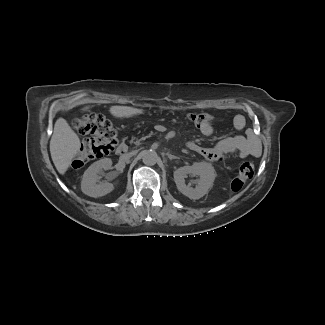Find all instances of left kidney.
Wrapping results in <instances>:
<instances>
[{
  "label": "left kidney",
  "instance_id": "5707ae66",
  "mask_svg": "<svg viewBox=\"0 0 325 325\" xmlns=\"http://www.w3.org/2000/svg\"><path fill=\"white\" fill-rule=\"evenodd\" d=\"M199 176L195 188L186 185L185 178L188 176ZM216 177L214 167L207 162H195L191 166H183L174 172V181L177 189L190 199L196 200L203 197L213 186Z\"/></svg>",
  "mask_w": 325,
  "mask_h": 325
}]
</instances>
